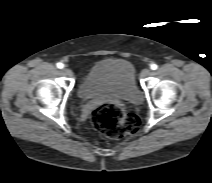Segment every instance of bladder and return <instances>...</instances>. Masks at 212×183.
<instances>
[{"mask_svg": "<svg viewBox=\"0 0 212 183\" xmlns=\"http://www.w3.org/2000/svg\"><path fill=\"white\" fill-rule=\"evenodd\" d=\"M78 94L84 99L111 97L132 104L141 102L131 63L115 57L97 61L79 84Z\"/></svg>", "mask_w": 212, "mask_h": 183, "instance_id": "bladder-1", "label": "bladder"}]
</instances>
